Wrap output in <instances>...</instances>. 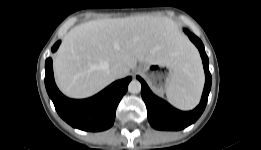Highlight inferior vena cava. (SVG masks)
Wrapping results in <instances>:
<instances>
[{
  "label": "inferior vena cava",
  "mask_w": 261,
  "mask_h": 150,
  "mask_svg": "<svg viewBox=\"0 0 261 150\" xmlns=\"http://www.w3.org/2000/svg\"><path fill=\"white\" fill-rule=\"evenodd\" d=\"M128 71V68L122 64V63H117L114 64L111 67V73L116 77V78H120L123 77Z\"/></svg>",
  "instance_id": "602c4592"
}]
</instances>
